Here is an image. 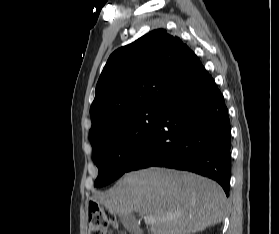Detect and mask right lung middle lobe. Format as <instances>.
<instances>
[{"label": "right lung middle lobe", "mask_w": 279, "mask_h": 234, "mask_svg": "<svg viewBox=\"0 0 279 234\" xmlns=\"http://www.w3.org/2000/svg\"><path fill=\"white\" fill-rule=\"evenodd\" d=\"M161 110L148 108L122 116L91 142L92 158L99 170L95 187L105 186L127 172L154 131Z\"/></svg>", "instance_id": "1"}]
</instances>
